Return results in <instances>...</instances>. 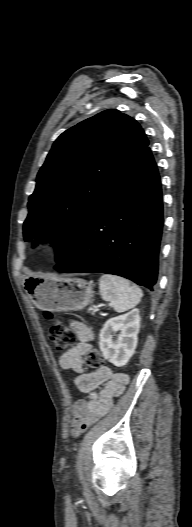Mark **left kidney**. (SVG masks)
<instances>
[{"label":"left kidney","mask_w":192,"mask_h":527,"mask_svg":"<svg viewBox=\"0 0 192 527\" xmlns=\"http://www.w3.org/2000/svg\"><path fill=\"white\" fill-rule=\"evenodd\" d=\"M140 328L138 309L106 321L100 331L99 347L105 359L117 367L126 365L135 352ZM119 335L116 340L113 336Z\"/></svg>","instance_id":"left-kidney-1"}]
</instances>
